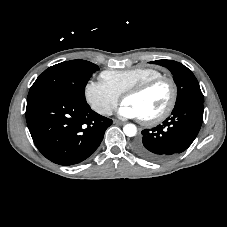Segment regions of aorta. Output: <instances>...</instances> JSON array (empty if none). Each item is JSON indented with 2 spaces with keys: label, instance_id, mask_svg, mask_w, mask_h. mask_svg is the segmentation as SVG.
I'll list each match as a JSON object with an SVG mask.
<instances>
[{
  "label": "aorta",
  "instance_id": "aorta-1",
  "mask_svg": "<svg viewBox=\"0 0 227 227\" xmlns=\"http://www.w3.org/2000/svg\"><path fill=\"white\" fill-rule=\"evenodd\" d=\"M123 132L128 137H133L137 134V128L134 124H126L123 127Z\"/></svg>",
  "mask_w": 227,
  "mask_h": 227
}]
</instances>
